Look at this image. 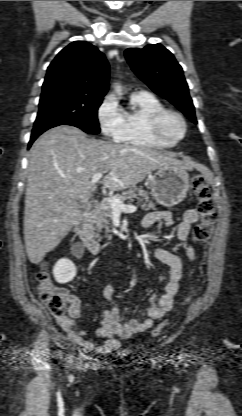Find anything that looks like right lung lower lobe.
I'll use <instances>...</instances> for the list:
<instances>
[{
	"label": "right lung lower lobe",
	"mask_w": 242,
	"mask_h": 416,
	"mask_svg": "<svg viewBox=\"0 0 242 416\" xmlns=\"http://www.w3.org/2000/svg\"><path fill=\"white\" fill-rule=\"evenodd\" d=\"M43 132H40V133H33L32 135H31V139H30V142H29V144H28V148H30V146L32 145V143L34 142V140L40 135V134H42Z\"/></svg>",
	"instance_id": "1"
}]
</instances>
